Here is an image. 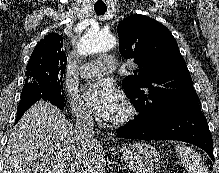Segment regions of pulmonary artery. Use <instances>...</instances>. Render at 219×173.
<instances>
[{
    "label": "pulmonary artery",
    "mask_w": 219,
    "mask_h": 173,
    "mask_svg": "<svg viewBox=\"0 0 219 173\" xmlns=\"http://www.w3.org/2000/svg\"><path fill=\"white\" fill-rule=\"evenodd\" d=\"M117 61L114 56H100L98 59L87 62L80 67V75L84 79H94L103 73L114 71Z\"/></svg>",
    "instance_id": "obj_1"
}]
</instances>
